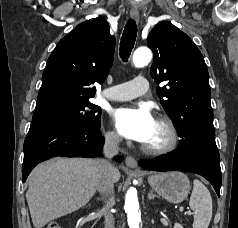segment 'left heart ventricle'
I'll list each match as a JSON object with an SVG mask.
<instances>
[{
  "instance_id": "b2bd125f",
  "label": "left heart ventricle",
  "mask_w": 238,
  "mask_h": 228,
  "mask_svg": "<svg viewBox=\"0 0 238 228\" xmlns=\"http://www.w3.org/2000/svg\"><path fill=\"white\" fill-rule=\"evenodd\" d=\"M166 138L164 128L156 123L151 137L144 144L148 146H159L166 141Z\"/></svg>"
}]
</instances>
